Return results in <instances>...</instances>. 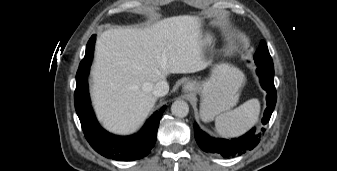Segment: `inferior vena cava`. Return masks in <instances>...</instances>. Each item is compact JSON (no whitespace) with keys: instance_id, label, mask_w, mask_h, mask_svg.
<instances>
[{"instance_id":"obj_1","label":"inferior vena cava","mask_w":337,"mask_h":171,"mask_svg":"<svg viewBox=\"0 0 337 171\" xmlns=\"http://www.w3.org/2000/svg\"><path fill=\"white\" fill-rule=\"evenodd\" d=\"M169 91V85L166 81H158L152 87V93L156 97L164 96Z\"/></svg>"}]
</instances>
